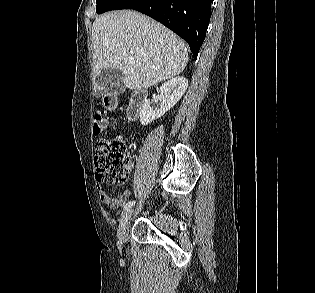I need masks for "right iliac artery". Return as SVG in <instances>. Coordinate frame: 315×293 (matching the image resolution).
I'll use <instances>...</instances> for the list:
<instances>
[{"label": "right iliac artery", "instance_id": "obj_1", "mask_svg": "<svg viewBox=\"0 0 315 293\" xmlns=\"http://www.w3.org/2000/svg\"><path fill=\"white\" fill-rule=\"evenodd\" d=\"M135 204V201H129L128 203H126L123 207V210L126 211L129 208H131L133 205Z\"/></svg>", "mask_w": 315, "mask_h": 293}]
</instances>
